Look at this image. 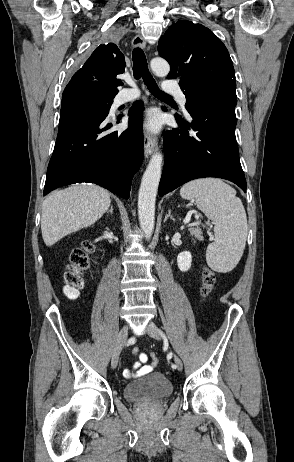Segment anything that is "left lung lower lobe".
<instances>
[{
  "label": "left lung lower lobe",
  "instance_id": "left-lung-lower-lobe-1",
  "mask_svg": "<svg viewBox=\"0 0 294 462\" xmlns=\"http://www.w3.org/2000/svg\"><path fill=\"white\" fill-rule=\"evenodd\" d=\"M236 103L231 99H210L188 112L192 122L176 115L181 127L165 137V164L159 196L197 178L218 177L237 184L246 192V179L239 160L235 137ZM192 129L191 135L187 129Z\"/></svg>",
  "mask_w": 294,
  "mask_h": 462
}]
</instances>
